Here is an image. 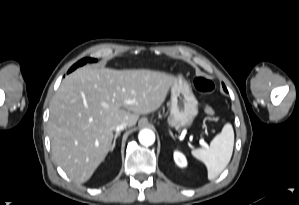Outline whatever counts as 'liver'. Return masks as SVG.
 Here are the masks:
<instances>
[{"instance_id": "1", "label": "liver", "mask_w": 299, "mask_h": 205, "mask_svg": "<svg viewBox=\"0 0 299 205\" xmlns=\"http://www.w3.org/2000/svg\"><path fill=\"white\" fill-rule=\"evenodd\" d=\"M177 81L140 69L81 67L67 75L50 103L48 133L57 164L76 183H85L111 150L122 122L136 125L141 114L160 108Z\"/></svg>"}]
</instances>
